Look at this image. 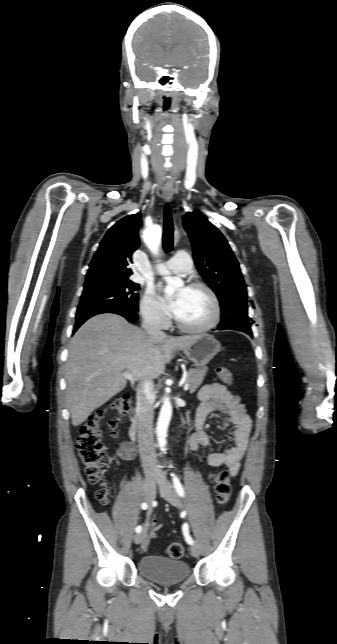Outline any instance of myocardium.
Instances as JSON below:
<instances>
[{
  "mask_svg": "<svg viewBox=\"0 0 337 644\" xmlns=\"http://www.w3.org/2000/svg\"><path fill=\"white\" fill-rule=\"evenodd\" d=\"M187 288L188 289H193V290H202L208 295V297L210 298L211 304H212V316H211L210 320L205 325L199 326V327L187 326V325L183 324L182 322H180L174 316L173 319H174V323H175L176 327L178 329H180L181 331H183V332L192 333V334H202V333H206V332L212 330L213 328H215L217 326V324L220 321V317H221V306H220V302H219V299H218L216 293L214 292V290L210 286H208L207 284L202 283V282H193V283L189 284Z\"/></svg>",
  "mask_w": 337,
  "mask_h": 644,
  "instance_id": "myocardium-1",
  "label": "myocardium"
}]
</instances>
